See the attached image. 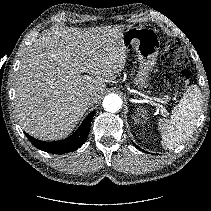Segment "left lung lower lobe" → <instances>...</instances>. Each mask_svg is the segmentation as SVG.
<instances>
[{"mask_svg": "<svg viewBox=\"0 0 211 211\" xmlns=\"http://www.w3.org/2000/svg\"><path fill=\"white\" fill-rule=\"evenodd\" d=\"M135 145V144H134ZM139 150L143 151L141 148H139L137 145H135Z\"/></svg>", "mask_w": 211, "mask_h": 211, "instance_id": "obj_1", "label": "left lung lower lobe"}]
</instances>
